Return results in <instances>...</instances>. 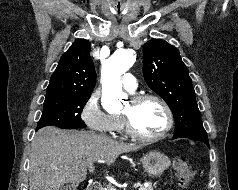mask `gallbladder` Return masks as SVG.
<instances>
[{
  "label": "gallbladder",
  "instance_id": "bac80fb5",
  "mask_svg": "<svg viewBox=\"0 0 238 190\" xmlns=\"http://www.w3.org/2000/svg\"><path fill=\"white\" fill-rule=\"evenodd\" d=\"M62 190H77V186L75 184H68L65 185Z\"/></svg>",
  "mask_w": 238,
  "mask_h": 190
}]
</instances>
